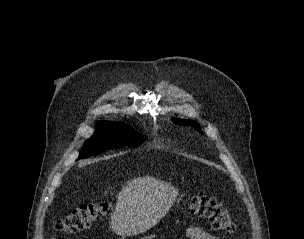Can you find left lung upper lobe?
Masks as SVG:
<instances>
[{"label":"left lung upper lobe","instance_id":"5c2ea615","mask_svg":"<svg viewBox=\"0 0 304 239\" xmlns=\"http://www.w3.org/2000/svg\"><path fill=\"white\" fill-rule=\"evenodd\" d=\"M173 122L179 125H190L193 126L197 131H199L200 133H202L200 126L198 125V123L196 121L193 120H180V119H173Z\"/></svg>","mask_w":304,"mask_h":239}]
</instances>
